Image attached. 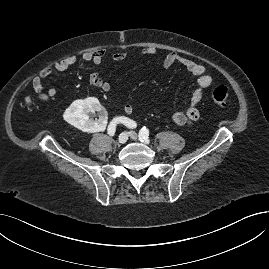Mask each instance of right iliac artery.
Returning <instances> with one entry per match:
<instances>
[{"mask_svg": "<svg viewBox=\"0 0 269 269\" xmlns=\"http://www.w3.org/2000/svg\"><path fill=\"white\" fill-rule=\"evenodd\" d=\"M119 122L123 123L124 125H126L128 128L131 129L136 128L137 126V124L133 120H130L129 118L126 117H119L108 126L107 131L110 136H114L116 131V124Z\"/></svg>", "mask_w": 269, "mask_h": 269, "instance_id": "1", "label": "right iliac artery"}]
</instances>
